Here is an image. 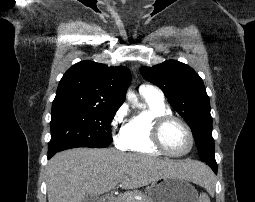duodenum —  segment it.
Here are the masks:
<instances>
[{"instance_id":"410a0bca","label":"duodenum","mask_w":255,"mask_h":202,"mask_svg":"<svg viewBox=\"0 0 255 202\" xmlns=\"http://www.w3.org/2000/svg\"><path fill=\"white\" fill-rule=\"evenodd\" d=\"M99 202H112V199L110 196H103L100 198Z\"/></svg>"}]
</instances>
